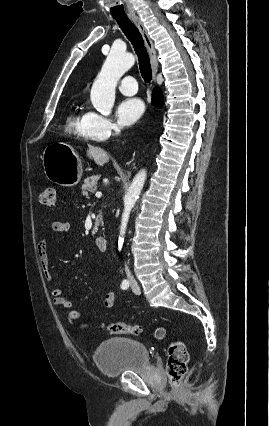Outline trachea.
I'll return each mask as SVG.
<instances>
[{
	"label": "trachea",
	"instance_id": "obj_1",
	"mask_svg": "<svg viewBox=\"0 0 269 426\" xmlns=\"http://www.w3.org/2000/svg\"><path fill=\"white\" fill-rule=\"evenodd\" d=\"M115 20L117 21L123 33L132 43L134 50L138 56L141 75L144 81L146 83H149L152 79V70L149 61V56L144 46V41L139 30L133 23H131V21L127 17L115 18Z\"/></svg>",
	"mask_w": 269,
	"mask_h": 426
}]
</instances>
